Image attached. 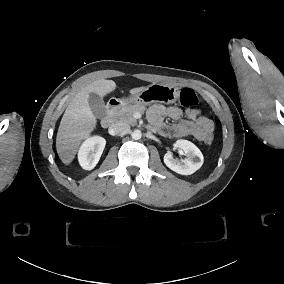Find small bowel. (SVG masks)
<instances>
[{
	"label": "small bowel",
	"mask_w": 284,
	"mask_h": 284,
	"mask_svg": "<svg viewBox=\"0 0 284 284\" xmlns=\"http://www.w3.org/2000/svg\"><path fill=\"white\" fill-rule=\"evenodd\" d=\"M148 118L162 134L174 138L192 136L199 141H205L214 129L212 120L204 116L199 109H190L184 112L176 106L166 107L156 104L150 108ZM165 118L170 119L173 123H166Z\"/></svg>",
	"instance_id": "1"
}]
</instances>
